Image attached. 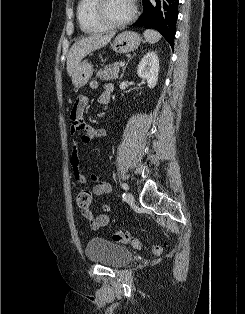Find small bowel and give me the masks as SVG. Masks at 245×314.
Segmentation results:
<instances>
[{"label": "small bowel", "instance_id": "c3829d8e", "mask_svg": "<svg viewBox=\"0 0 245 314\" xmlns=\"http://www.w3.org/2000/svg\"><path fill=\"white\" fill-rule=\"evenodd\" d=\"M90 87L92 89H96L98 88V83L96 81H91ZM111 92L112 85L109 83L104 84L103 92L99 95L98 102L100 104H108L110 101ZM87 104L88 98L86 96L81 95L77 97L70 113V133L75 138L71 156V164L73 167L74 179L80 184L86 183L87 179L80 169L79 144L89 143L97 138L107 135V131L105 129L96 128L85 121L84 112ZM90 180L92 182V193L94 195L99 196L112 193L111 185L106 181L100 180L97 175H91ZM102 210L105 213L98 216H94L91 210H89L87 213H82L83 217L88 220L92 230H99L109 224L110 217L108 213H110L112 209L108 204H103Z\"/></svg>", "mask_w": 245, "mask_h": 314}]
</instances>
